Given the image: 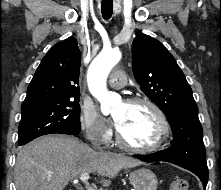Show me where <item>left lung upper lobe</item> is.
<instances>
[{"instance_id":"1","label":"left lung upper lobe","mask_w":221,"mask_h":190,"mask_svg":"<svg viewBox=\"0 0 221 190\" xmlns=\"http://www.w3.org/2000/svg\"><path fill=\"white\" fill-rule=\"evenodd\" d=\"M132 68L142 91L162 109L171 125L174 139L170 150L205 159L198 107L171 53L160 41L139 34L132 45Z\"/></svg>"}]
</instances>
